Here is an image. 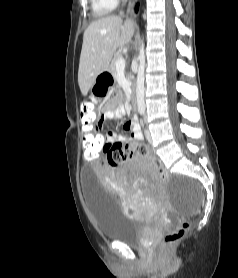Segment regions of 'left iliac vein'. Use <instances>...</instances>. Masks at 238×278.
<instances>
[{"label":"left iliac vein","mask_w":238,"mask_h":278,"mask_svg":"<svg viewBox=\"0 0 238 278\" xmlns=\"http://www.w3.org/2000/svg\"><path fill=\"white\" fill-rule=\"evenodd\" d=\"M145 135H146V138H147L148 142L151 143L152 142V137H151V133H150L149 129L145 130Z\"/></svg>","instance_id":"4c4485c4"}]
</instances>
